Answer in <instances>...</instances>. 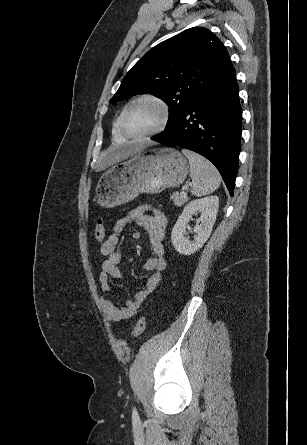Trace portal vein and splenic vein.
<instances>
[{"mask_svg":"<svg viewBox=\"0 0 307 445\" xmlns=\"http://www.w3.org/2000/svg\"><path fill=\"white\" fill-rule=\"evenodd\" d=\"M185 188H188L187 184H185V186H182L183 192H184ZM184 194H185V192H184Z\"/></svg>","mask_w":307,"mask_h":445,"instance_id":"portal-vein-and-splenic-vein-1","label":"portal vein and splenic vein"}]
</instances>
